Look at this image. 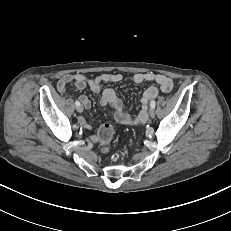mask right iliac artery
<instances>
[{"label": "right iliac artery", "mask_w": 231, "mask_h": 231, "mask_svg": "<svg viewBox=\"0 0 231 231\" xmlns=\"http://www.w3.org/2000/svg\"><path fill=\"white\" fill-rule=\"evenodd\" d=\"M75 105H76V106H79V105H80V102L76 100V101H75Z\"/></svg>", "instance_id": "right-iliac-artery-1"}]
</instances>
